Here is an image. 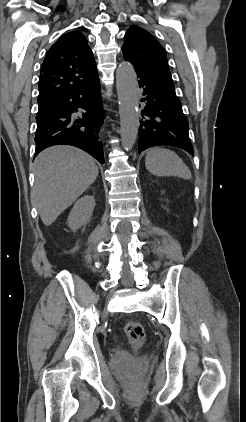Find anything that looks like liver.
<instances>
[{"label": "liver", "mask_w": 246, "mask_h": 422, "mask_svg": "<svg viewBox=\"0 0 246 422\" xmlns=\"http://www.w3.org/2000/svg\"><path fill=\"white\" fill-rule=\"evenodd\" d=\"M32 198L45 226L51 225L98 176L94 159L65 145L42 151L34 161Z\"/></svg>", "instance_id": "6515ba94"}]
</instances>
